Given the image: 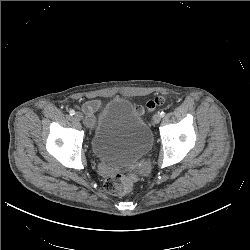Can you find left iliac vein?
<instances>
[{
  "mask_svg": "<svg viewBox=\"0 0 250 250\" xmlns=\"http://www.w3.org/2000/svg\"><path fill=\"white\" fill-rule=\"evenodd\" d=\"M160 120H161L160 114H159V113H156V114L153 116V122H154L155 124H158V123L160 122Z\"/></svg>",
  "mask_w": 250,
  "mask_h": 250,
  "instance_id": "left-iliac-vein-1",
  "label": "left iliac vein"
}]
</instances>
